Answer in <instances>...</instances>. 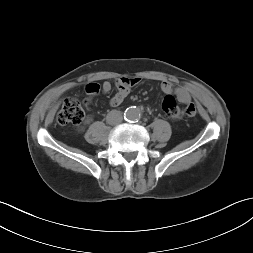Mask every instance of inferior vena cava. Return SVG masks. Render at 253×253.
Here are the masks:
<instances>
[{
  "label": "inferior vena cava",
  "mask_w": 253,
  "mask_h": 253,
  "mask_svg": "<svg viewBox=\"0 0 253 253\" xmlns=\"http://www.w3.org/2000/svg\"><path fill=\"white\" fill-rule=\"evenodd\" d=\"M123 120V116L121 111L112 110L107 115V123L110 125H117L121 123Z\"/></svg>",
  "instance_id": "inferior-vena-cava-1"
}]
</instances>
